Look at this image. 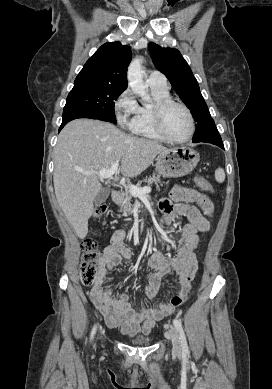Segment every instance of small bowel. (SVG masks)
Returning <instances> with one entry per match:
<instances>
[{
  "label": "small bowel",
  "mask_w": 272,
  "mask_h": 389,
  "mask_svg": "<svg viewBox=\"0 0 272 389\" xmlns=\"http://www.w3.org/2000/svg\"><path fill=\"white\" fill-rule=\"evenodd\" d=\"M160 209L163 213V226L171 224L178 217H185L188 223L176 236L167 237L168 242L180 245L174 257H167L159 252L150 256L148 264L154 272L144 289L149 300L156 297L165 276L170 272H174L178 277V295L189 293L191 281L199 272L195 253L199 243L198 233L210 229L209 218L214 212L213 204L205 195L182 186H174L171 189L169 197L160 201ZM121 232H117L112 243L105 248L95 284L89 290L88 296L103 315L108 327L120 328L121 333L126 336L148 335L158 321L173 312L174 307L165 300L158 301L153 306L135 305L127 294H112L107 284L109 271L132 256Z\"/></svg>",
  "instance_id": "1"
}]
</instances>
